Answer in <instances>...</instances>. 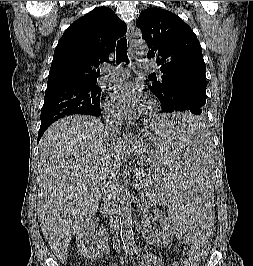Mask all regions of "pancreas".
I'll return each instance as SVG.
<instances>
[{
  "label": "pancreas",
  "instance_id": "cf45deb5",
  "mask_svg": "<svg viewBox=\"0 0 253 266\" xmlns=\"http://www.w3.org/2000/svg\"><path fill=\"white\" fill-rule=\"evenodd\" d=\"M143 182H144L145 185H146V184L149 185V178H144V179H143Z\"/></svg>",
  "mask_w": 253,
  "mask_h": 266
}]
</instances>
